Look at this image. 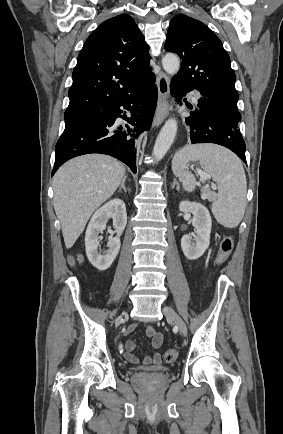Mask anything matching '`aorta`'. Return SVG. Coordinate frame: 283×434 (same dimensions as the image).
Wrapping results in <instances>:
<instances>
[{"label":"aorta","mask_w":283,"mask_h":434,"mask_svg":"<svg viewBox=\"0 0 283 434\" xmlns=\"http://www.w3.org/2000/svg\"><path fill=\"white\" fill-rule=\"evenodd\" d=\"M162 65L168 74L175 75L179 70L180 60L174 54H166L162 60ZM177 128V121L175 119L171 118L165 122L153 148V156L157 161L161 160L169 150L175 139Z\"/></svg>","instance_id":"1"}]
</instances>
